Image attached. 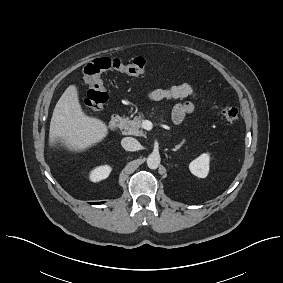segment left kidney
Segmentation results:
<instances>
[{
  "instance_id": "left-kidney-1",
  "label": "left kidney",
  "mask_w": 283,
  "mask_h": 283,
  "mask_svg": "<svg viewBox=\"0 0 283 283\" xmlns=\"http://www.w3.org/2000/svg\"><path fill=\"white\" fill-rule=\"evenodd\" d=\"M209 162L210 155L203 153L189 164V169L193 175L199 178H205L209 172Z\"/></svg>"
}]
</instances>
